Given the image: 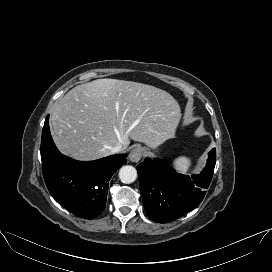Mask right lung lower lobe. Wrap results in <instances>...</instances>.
<instances>
[{"label":"right lung lower lobe","instance_id":"obj_1","mask_svg":"<svg viewBox=\"0 0 272 272\" xmlns=\"http://www.w3.org/2000/svg\"><path fill=\"white\" fill-rule=\"evenodd\" d=\"M126 154L81 162L62 155L49 130L47 116L41 140L44 180L51 195L78 217L93 219L106 205L108 181L126 163Z\"/></svg>","mask_w":272,"mask_h":272}]
</instances>
